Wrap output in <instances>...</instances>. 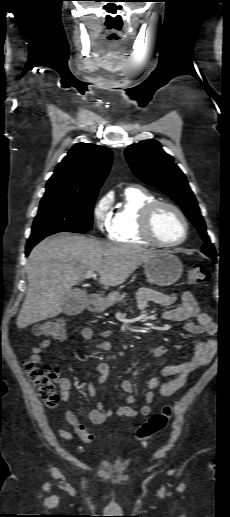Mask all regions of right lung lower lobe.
I'll use <instances>...</instances> for the list:
<instances>
[{"label": "right lung lower lobe", "mask_w": 230, "mask_h": 517, "mask_svg": "<svg viewBox=\"0 0 230 517\" xmlns=\"http://www.w3.org/2000/svg\"><path fill=\"white\" fill-rule=\"evenodd\" d=\"M47 237V236H45ZM45 237H40V238H36V239H29L28 242H27V245H26V256H28L30 250L38 243L40 242L42 239H44Z\"/></svg>", "instance_id": "obj_1"}]
</instances>
